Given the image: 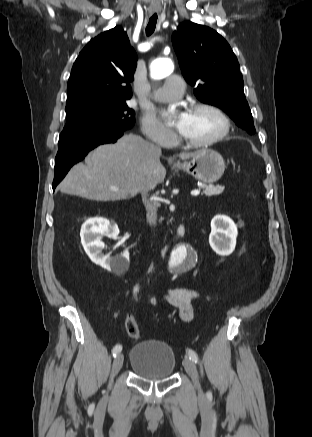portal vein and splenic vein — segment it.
<instances>
[{
	"label": "portal vein and splenic vein",
	"mask_w": 312,
	"mask_h": 437,
	"mask_svg": "<svg viewBox=\"0 0 312 437\" xmlns=\"http://www.w3.org/2000/svg\"><path fill=\"white\" fill-rule=\"evenodd\" d=\"M114 190H117V189H114ZM200 194V190H193L192 192H191V195L192 196H198Z\"/></svg>",
	"instance_id": "18ae733b"
}]
</instances>
